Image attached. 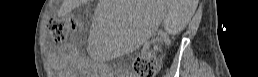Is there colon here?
I'll return each mask as SVG.
<instances>
[{
    "label": "colon",
    "instance_id": "colon-1",
    "mask_svg": "<svg viewBox=\"0 0 258 77\" xmlns=\"http://www.w3.org/2000/svg\"><path fill=\"white\" fill-rule=\"evenodd\" d=\"M77 27L75 19L66 22L56 20L50 23V32L53 39H64L66 34ZM157 70V59L153 53H145L134 61V71L138 77H153Z\"/></svg>",
    "mask_w": 258,
    "mask_h": 77
}]
</instances>
